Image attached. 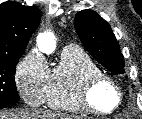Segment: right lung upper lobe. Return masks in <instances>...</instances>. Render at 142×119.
Wrapping results in <instances>:
<instances>
[{
    "label": "right lung upper lobe",
    "instance_id": "1",
    "mask_svg": "<svg viewBox=\"0 0 142 119\" xmlns=\"http://www.w3.org/2000/svg\"><path fill=\"white\" fill-rule=\"evenodd\" d=\"M40 18L37 7L15 1L0 4V57L23 54Z\"/></svg>",
    "mask_w": 142,
    "mask_h": 119
}]
</instances>
